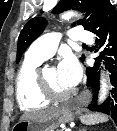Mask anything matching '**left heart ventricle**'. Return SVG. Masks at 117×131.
<instances>
[{
	"instance_id": "1",
	"label": "left heart ventricle",
	"mask_w": 117,
	"mask_h": 131,
	"mask_svg": "<svg viewBox=\"0 0 117 131\" xmlns=\"http://www.w3.org/2000/svg\"><path fill=\"white\" fill-rule=\"evenodd\" d=\"M43 75L46 79V81L49 83V85L56 91L59 93H65L70 91L72 88L64 85L60 79H59V75H58V70L55 67H49L46 68L43 71Z\"/></svg>"
}]
</instances>
